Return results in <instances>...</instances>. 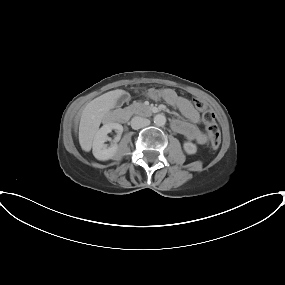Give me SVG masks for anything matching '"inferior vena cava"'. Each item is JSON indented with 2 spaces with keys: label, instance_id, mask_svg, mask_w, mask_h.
I'll list each match as a JSON object with an SVG mask.
<instances>
[{
  "label": "inferior vena cava",
  "instance_id": "obj_1",
  "mask_svg": "<svg viewBox=\"0 0 285 285\" xmlns=\"http://www.w3.org/2000/svg\"><path fill=\"white\" fill-rule=\"evenodd\" d=\"M150 124V120L143 118V117H139V116H135L132 118L131 120V127L135 130L146 127Z\"/></svg>",
  "mask_w": 285,
  "mask_h": 285
}]
</instances>
